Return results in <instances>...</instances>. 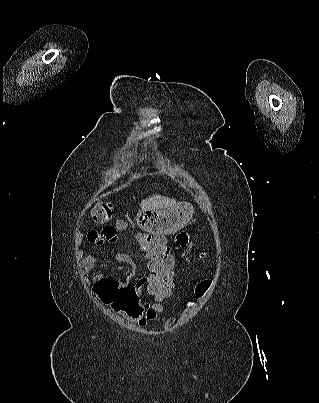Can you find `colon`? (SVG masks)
<instances>
[{"label": "colon", "mask_w": 319, "mask_h": 403, "mask_svg": "<svg viewBox=\"0 0 319 403\" xmlns=\"http://www.w3.org/2000/svg\"><path fill=\"white\" fill-rule=\"evenodd\" d=\"M111 212V205L102 203L94 209L93 216L97 222L106 221ZM167 234H141L136 237L134 246L139 254H146L147 278L145 288L148 291L153 304H170L172 300L173 287H176L175 270L177 260L171 259V252H164L167 249ZM196 295L201 296L209 289V278L206 276H197L195 279ZM138 295V293H137ZM185 306L191 307L197 303L194 296H186ZM179 315H185V310H179Z\"/></svg>", "instance_id": "colon-1"}]
</instances>
